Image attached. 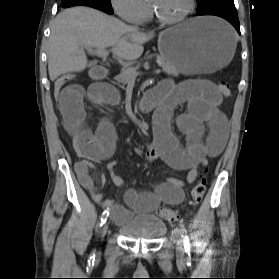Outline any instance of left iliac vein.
<instances>
[{
	"mask_svg": "<svg viewBox=\"0 0 279 279\" xmlns=\"http://www.w3.org/2000/svg\"><path fill=\"white\" fill-rule=\"evenodd\" d=\"M175 237L177 239V254L179 257H183L184 249L182 245V231L179 228L174 230Z\"/></svg>",
	"mask_w": 279,
	"mask_h": 279,
	"instance_id": "obj_1",
	"label": "left iliac vein"
}]
</instances>
